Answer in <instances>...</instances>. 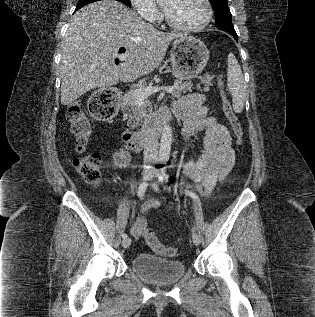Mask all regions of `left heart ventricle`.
<instances>
[{"mask_svg": "<svg viewBox=\"0 0 315 317\" xmlns=\"http://www.w3.org/2000/svg\"><path fill=\"white\" fill-rule=\"evenodd\" d=\"M164 8L169 17L181 25H196L206 16L202 0H165Z\"/></svg>", "mask_w": 315, "mask_h": 317, "instance_id": "left-heart-ventricle-1", "label": "left heart ventricle"}]
</instances>
